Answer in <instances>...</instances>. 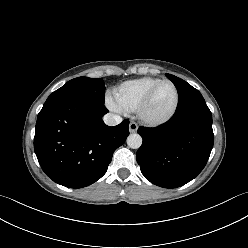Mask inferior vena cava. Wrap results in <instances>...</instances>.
<instances>
[{
  "label": "inferior vena cava",
  "instance_id": "obj_1",
  "mask_svg": "<svg viewBox=\"0 0 248 248\" xmlns=\"http://www.w3.org/2000/svg\"><path fill=\"white\" fill-rule=\"evenodd\" d=\"M104 123L108 126H115L122 122V118L119 115L113 113H107L103 117Z\"/></svg>",
  "mask_w": 248,
  "mask_h": 248
}]
</instances>
